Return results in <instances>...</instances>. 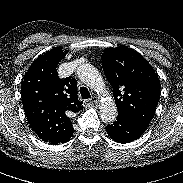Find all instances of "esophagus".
<instances>
[{"label":"esophagus","instance_id":"34e87169","mask_svg":"<svg viewBox=\"0 0 183 183\" xmlns=\"http://www.w3.org/2000/svg\"><path fill=\"white\" fill-rule=\"evenodd\" d=\"M98 104H99V99L96 96L84 102V105L86 107H94V106H97Z\"/></svg>","mask_w":183,"mask_h":183}]
</instances>
